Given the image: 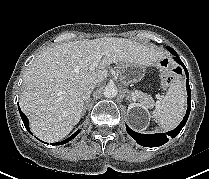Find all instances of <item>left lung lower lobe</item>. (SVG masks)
<instances>
[{
  "label": "left lung lower lobe",
  "mask_w": 209,
  "mask_h": 179,
  "mask_svg": "<svg viewBox=\"0 0 209 179\" xmlns=\"http://www.w3.org/2000/svg\"><path fill=\"white\" fill-rule=\"evenodd\" d=\"M167 49L175 56L174 60L178 64H180L185 70V73L187 76L186 86H187V94H188V108H187L186 115L184 116L182 122L174 130L169 131L167 133H156V134H151V135L140 134V133H137V132L131 130L126 125V130H127L128 134L133 139H135L139 145H142L145 147H158V146H161V145L165 144L166 142H168L170 137H172V138L176 137L179 134V132L182 130L184 125L186 124L187 119L190 114V110H191V97H190L191 90H190V86H189V74H188L187 68L184 66L183 62L178 57L177 53L171 47H167Z\"/></svg>",
  "instance_id": "left-lung-lower-lobe-1"
}]
</instances>
